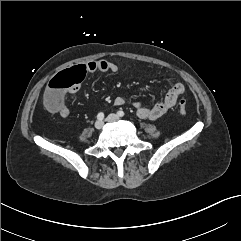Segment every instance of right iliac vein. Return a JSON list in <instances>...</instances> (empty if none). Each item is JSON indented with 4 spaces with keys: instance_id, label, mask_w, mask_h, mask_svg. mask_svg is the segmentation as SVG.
Here are the masks:
<instances>
[{
    "instance_id": "obj_1",
    "label": "right iliac vein",
    "mask_w": 241,
    "mask_h": 241,
    "mask_svg": "<svg viewBox=\"0 0 241 241\" xmlns=\"http://www.w3.org/2000/svg\"><path fill=\"white\" fill-rule=\"evenodd\" d=\"M94 126H95L96 129L99 130L104 126V122L102 120H98V121L95 122Z\"/></svg>"
}]
</instances>
